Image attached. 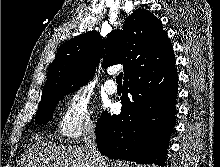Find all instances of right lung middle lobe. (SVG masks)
Listing matches in <instances>:
<instances>
[{
  "mask_svg": "<svg viewBox=\"0 0 220 167\" xmlns=\"http://www.w3.org/2000/svg\"><path fill=\"white\" fill-rule=\"evenodd\" d=\"M76 89L70 88V89H64L61 90L54 95L40 101L38 111L36 114L35 122L36 124H46L49 122V120L52 118L54 109L58 103V101L67 93L73 92Z\"/></svg>",
  "mask_w": 220,
  "mask_h": 167,
  "instance_id": "obj_1",
  "label": "right lung middle lobe"
}]
</instances>
